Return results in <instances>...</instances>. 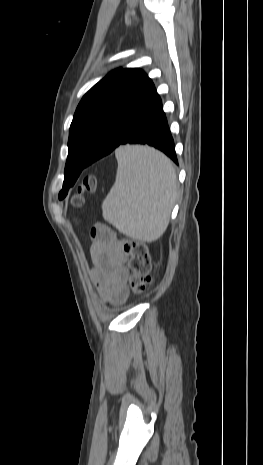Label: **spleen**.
<instances>
[{
  "instance_id": "obj_1",
  "label": "spleen",
  "mask_w": 263,
  "mask_h": 465,
  "mask_svg": "<svg viewBox=\"0 0 263 465\" xmlns=\"http://www.w3.org/2000/svg\"><path fill=\"white\" fill-rule=\"evenodd\" d=\"M115 154L116 180L103 201V218L131 238L155 241L168 226L177 193L173 164L144 146H123Z\"/></svg>"
}]
</instances>
